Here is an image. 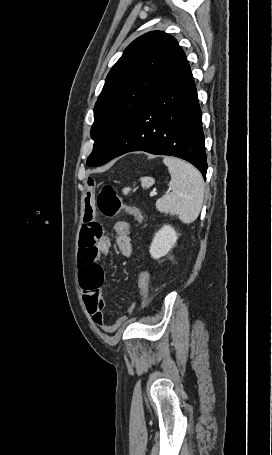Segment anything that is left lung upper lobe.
<instances>
[{
	"mask_svg": "<svg viewBox=\"0 0 272 455\" xmlns=\"http://www.w3.org/2000/svg\"><path fill=\"white\" fill-rule=\"evenodd\" d=\"M188 65L176 39L164 32H148L129 44L95 104L87 165L99 166L139 112Z\"/></svg>",
	"mask_w": 272,
	"mask_h": 455,
	"instance_id": "5c2ea615",
	"label": "left lung upper lobe"
}]
</instances>
